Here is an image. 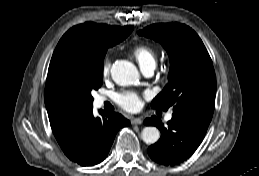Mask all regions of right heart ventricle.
<instances>
[{"instance_id":"obj_1","label":"right heart ventricle","mask_w":259,"mask_h":176,"mask_svg":"<svg viewBox=\"0 0 259 176\" xmlns=\"http://www.w3.org/2000/svg\"><path fill=\"white\" fill-rule=\"evenodd\" d=\"M132 54L141 68L156 66L157 52L148 44H138L132 49Z\"/></svg>"}]
</instances>
